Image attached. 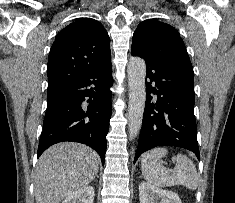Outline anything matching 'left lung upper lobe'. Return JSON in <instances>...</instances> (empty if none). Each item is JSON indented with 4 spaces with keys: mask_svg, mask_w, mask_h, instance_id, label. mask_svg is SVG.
I'll use <instances>...</instances> for the list:
<instances>
[{
    "mask_svg": "<svg viewBox=\"0 0 235 203\" xmlns=\"http://www.w3.org/2000/svg\"><path fill=\"white\" fill-rule=\"evenodd\" d=\"M131 49L194 76L184 42L169 24L154 19L141 22L134 32Z\"/></svg>",
    "mask_w": 235,
    "mask_h": 203,
    "instance_id": "5c2ea615",
    "label": "left lung upper lobe"
}]
</instances>
